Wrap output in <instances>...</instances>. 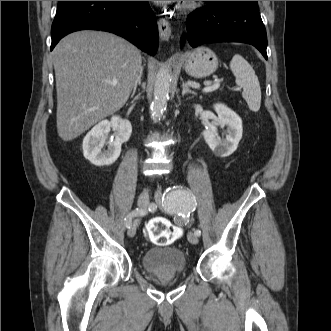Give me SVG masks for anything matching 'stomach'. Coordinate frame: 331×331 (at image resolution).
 <instances>
[{
	"label": "stomach",
	"mask_w": 331,
	"mask_h": 331,
	"mask_svg": "<svg viewBox=\"0 0 331 331\" xmlns=\"http://www.w3.org/2000/svg\"><path fill=\"white\" fill-rule=\"evenodd\" d=\"M185 71L194 78H205L216 71L218 59L209 48L201 46L185 56Z\"/></svg>",
	"instance_id": "obj_1"
}]
</instances>
